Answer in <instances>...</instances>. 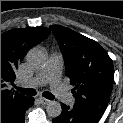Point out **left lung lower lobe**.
<instances>
[{
    "mask_svg": "<svg viewBox=\"0 0 123 123\" xmlns=\"http://www.w3.org/2000/svg\"><path fill=\"white\" fill-rule=\"evenodd\" d=\"M62 113L53 119V123H98L99 119L87 116L65 104H61Z\"/></svg>",
    "mask_w": 123,
    "mask_h": 123,
    "instance_id": "left-lung-lower-lobe-1",
    "label": "left lung lower lobe"
}]
</instances>
